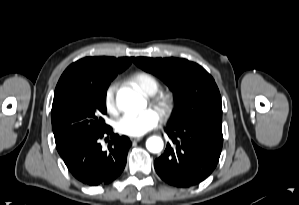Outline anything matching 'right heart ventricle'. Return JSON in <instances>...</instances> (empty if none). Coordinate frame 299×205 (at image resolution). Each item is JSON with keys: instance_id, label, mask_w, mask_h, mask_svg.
Masks as SVG:
<instances>
[{"instance_id": "obj_1", "label": "right heart ventricle", "mask_w": 299, "mask_h": 205, "mask_svg": "<svg viewBox=\"0 0 299 205\" xmlns=\"http://www.w3.org/2000/svg\"><path fill=\"white\" fill-rule=\"evenodd\" d=\"M130 83L142 94L153 95L159 89V81L150 73L137 72L130 76Z\"/></svg>"}]
</instances>
